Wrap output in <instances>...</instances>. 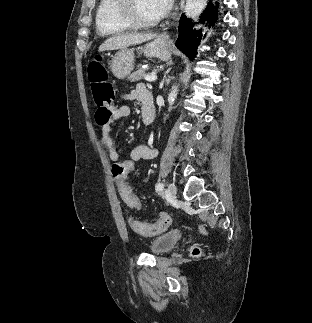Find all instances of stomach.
Masks as SVG:
<instances>
[{"label": "stomach", "mask_w": 312, "mask_h": 323, "mask_svg": "<svg viewBox=\"0 0 312 323\" xmlns=\"http://www.w3.org/2000/svg\"><path fill=\"white\" fill-rule=\"evenodd\" d=\"M171 40L169 36L161 34V36H156L153 42L145 44L143 48H138L141 54H144L146 58H159L162 62H168L171 58ZM134 54L129 48H122L119 50L115 56H113L110 64V70L118 80H124L132 72L134 64Z\"/></svg>", "instance_id": "obj_1"}]
</instances>
